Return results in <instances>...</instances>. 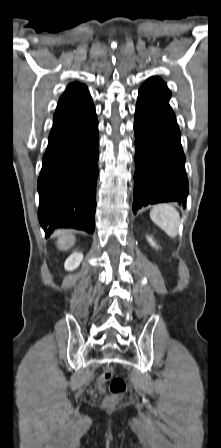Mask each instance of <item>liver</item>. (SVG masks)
Here are the masks:
<instances>
[{
    "instance_id": "1",
    "label": "liver",
    "mask_w": 221,
    "mask_h": 448,
    "mask_svg": "<svg viewBox=\"0 0 221 448\" xmlns=\"http://www.w3.org/2000/svg\"><path fill=\"white\" fill-rule=\"evenodd\" d=\"M76 237L71 233L62 230L58 236L57 247L62 251H67L75 244Z\"/></svg>"
}]
</instances>
